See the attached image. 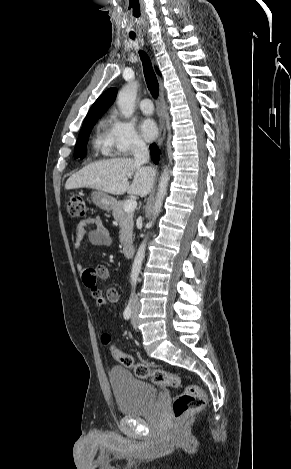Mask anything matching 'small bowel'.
<instances>
[{
  "mask_svg": "<svg viewBox=\"0 0 291 469\" xmlns=\"http://www.w3.org/2000/svg\"><path fill=\"white\" fill-rule=\"evenodd\" d=\"M93 226L92 229L90 227ZM88 237L89 241L96 246H108L111 244V238L99 217L88 218L78 222L74 228V248L78 252L81 248L82 241ZM77 269L82 272V280L84 285L89 289L93 298L101 296L106 304L114 303L118 300L119 294L115 288L107 290L106 295L97 287L98 280H104L109 277V270L104 265H99L93 269H84L82 264H77Z\"/></svg>",
  "mask_w": 291,
  "mask_h": 469,
  "instance_id": "c3829d8e",
  "label": "small bowel"
}]
</instances>
